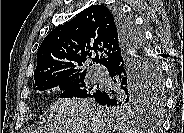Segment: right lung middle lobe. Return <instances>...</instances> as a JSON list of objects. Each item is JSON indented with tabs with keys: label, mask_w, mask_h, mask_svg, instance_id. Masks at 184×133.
Masks as SVG:
<instances>
[{
	"label": "right lung middle lobe",
	"mask_w": 184,
	"mask_h": 133,
	"mask_svg": "<svg viewBox=\"0 0 184 133\" xmlns=\"http://www.w3.org/2000/svg\"><path fill=\"white\" fill-rule=\"evenodd\" d=\"M131 20L130 18H128ZM132 21V20H131ZM134 30L137 37H141L145 44V52L148 55V65L146 69V78L144 86L138 95L120 96L109 105L112 113H131L146 108H156L159 112L162 111L164 104V82L161 74V69L153 55L151 49L147 45L142 32L135 26ZM85 76L81 77H50L45 78L35 83V90H48L59 87L63 93L61 98L72 97H88L91 94L98 93L101 90L98 88H87L84 82Z\"/></svg>",
	"instance_id": "obj_1"
}]
</instances>
